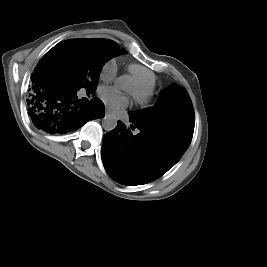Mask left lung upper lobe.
<instances>
[{
	"label": "left lung upper lobe",
	"mask_w": 267,
	"mask_h": 267,
	"mask_svg": "<svg viewBox=\"0 0 267 267\" xmlns=\"http://www.w3.org/2000/svg\"><path fill=\"white\" fill-rule=\"evenodd\" d=\"M130 121L145 128L157 129L190 143L195 115L191 99L185 89L172 85L164 90L155 107L129 112Z\"/></svg>",
	"instance_id": "1"
}]
</instances>
